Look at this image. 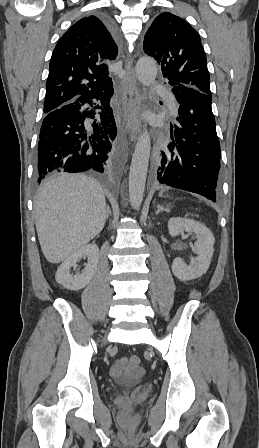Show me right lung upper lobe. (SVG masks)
I'll list each match as a JSON object with an SVG mask.
<instances>
[{
    "mask_svg": "<svg viewBox=\"0 0 259 448\" xmlns=\"http://www.w3.org/2000/svg\"><path fill=\"white\" fill-rule=\"evenodd\" d=\"M117 45L108 26L95 16L80 19L60 38L50 60L44 113L107 92L108 65Z\"/></svg>",
    "mask_w": 259,
    "mask_h": 448,
    "instance_id": "obj_1",
    "label": "right lung upper lobe"
}]
</instances>
